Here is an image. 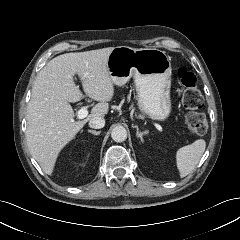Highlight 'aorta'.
<instances>
[{
  "label": "aorta",
  "instance_id": "obj_1",
  "mask_svg": "<svg viewBox=\"0 0 240 240\" xmlns=\"http://www.w3.org/2000/svg\"><path fill=\"white\" fill-rule=\"evenodd\" d=\"M111 137L115 142H123L127 139V131L122 126H116L111 131Z\"/></svg>",
  "mask_w": 240,
  "mask_h": 240
}]
</instances>
